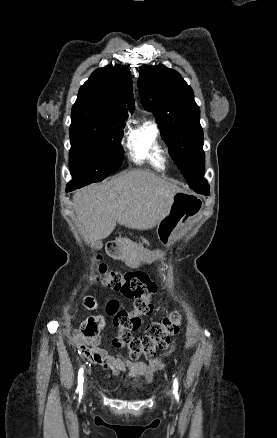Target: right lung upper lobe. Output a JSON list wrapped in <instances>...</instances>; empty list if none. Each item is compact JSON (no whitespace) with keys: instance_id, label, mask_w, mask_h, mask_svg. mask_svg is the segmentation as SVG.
Listing matches in <instances>:
<instances>
[{"instance_id":"right-lung-upper-lobe-1","label":"right lung upper lobe","mask_w":277,"mask_h":438,"mask_svg":"<svg viewBox=\"0 0 277 438\" xmlns=\"http://www.w3.org/2000/svg\"><path fill=\"white\" fill-rule=\"evenodd\" d=\"M134 110L131 73L125 65H107L94 71L81 86L73 105L72 122L114 124Z\"/></svg>"}]
</instances>
